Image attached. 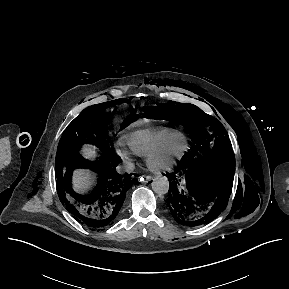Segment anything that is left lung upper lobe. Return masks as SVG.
I'll use <instances>...</instances> for the list:
<instances>
[{"label":"left lung upper lobe","instance_id":"obj_1","mask_svg":"<svg viewBox=\"0 0 289 289\" xmlns=\"http://www.w3.org/2000/svg\"><path fill=\"white\" fill-rule=\"evenodd\" d=\"M145 116L181 124L188 131L192 144L188 153L197 150L213 156L220 168L235 164L232 145L224 126L213 116L189 103H156L144 107Z\"/></svg>","mask_w":289,"mask_h":289}]
</instances>
